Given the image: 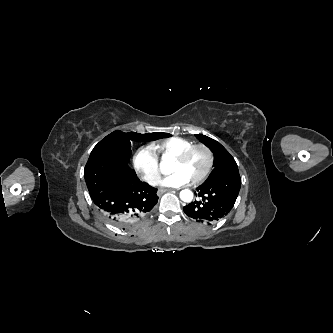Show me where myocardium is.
<instances>
[{
    "label": "myocardium",
    "mask_w": 333,
    "mask_h": 333,
    "mask_svg": "<svg viewBox=\"0 0 333 333\" xmlns=\"http://www.w3.org/2000/svg\"><path fill=\"white\" fill-rule=\"evenodd\" d=\"M197 149H201L206 152L208 157V163L204 172L198 178L191 181L192 184L194 185H198L204 182L207 179V177L210 175L215 162V155L212 149L205 144H194L188 147L187 149L183 150L173 159V161L175 162L183 163L188 158V156Z\"/></svg>",
    "instance_id": "1"
}]
</instances>
